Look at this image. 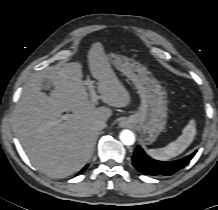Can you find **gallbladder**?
Masks as SVG:
<instances>
[{
  "instance_id": "bac80fb5",
  "label": "gallbladder",
  "mask_w": 218,
  "mask_h": 210,
  "mask_svg": "<svg viewBox=\"0 0 218 210\" xmlns=\"http://www.w3.org/2000/svg\"><path fill=\"white\" fill-rule=\"evenodd\" d=\"M42 89L45 90V91H51L52 90V85H51L49 80L45 79L42 82Z\"/></svg>"
}]
</instances>
